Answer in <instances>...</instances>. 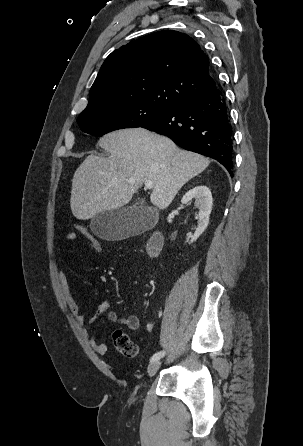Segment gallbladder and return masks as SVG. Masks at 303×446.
<instances>
[{
  "mask_svg": "<svg viewBox=\"0 0 303 446\" xmlns=\"http://www.w3.org/2000/svg\"><path fill=\"white\" fill-rule=\"evenodd\" d=\"M153 215L139 207H122L97 214L91 221L92 232L106 240H118L144 231L150 226Z\"/></svg>",
  "mask_w": 303,
  "mask_h": 446,
  "instance_id": "obj_1",
  "label": "gallbladder"
}]
</instances>
